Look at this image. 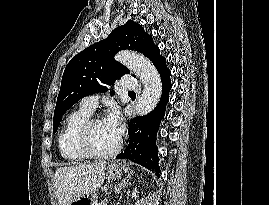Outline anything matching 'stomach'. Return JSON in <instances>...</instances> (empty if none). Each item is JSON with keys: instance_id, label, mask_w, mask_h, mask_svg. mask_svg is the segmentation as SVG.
I'll return each mask as SVG.
<instances>
[{"instance_id": "obj_1", "label": "stomach", "mask_w": 269, "mask_h": 205, "mask_svg": "<svg viewBox=\"0 0 269 205\" xmlns=\"http://www.w3.org/2000/svg\"><path fill=\"white\" fill-rule=\"evenodd\" d=\"M129 167L127 165H117L111 164L107 167L106 175L111 180L120 179L123 172H129ZM70 205H96L95 200L91 195H82L74 199Z\"/></svg>"}]
</instances>
